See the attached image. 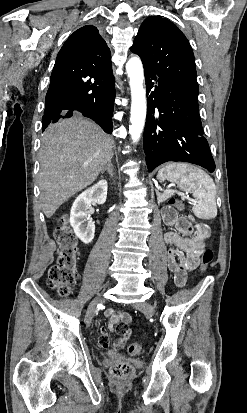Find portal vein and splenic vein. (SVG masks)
<instances>
[{"label":"portal vein and splenic vein","instance_id":"portal-vein-and-splenic-vein-1","mask_svg":"<svg viewBox=\"0 0 247 413\" xmlns=\"http://www.w3.org/2000/svg\"><path fill=\"white\" fill-rule=\"evenodd\" d=\"M154 182H155V184H157V180H154ZM172 190H170V188H168V190H167V192H171ZM174 191H177V190H174ZM173 192V191H172ZM176 193V192H175ZM189 192L188 191H186V192H179V196H182V197H184V199L185 200H188L189 202H192L193 201V198L192 197H189L187 194H188Z\"/></svg>","mask_w":247,"mask_h":413}]
</instances>
